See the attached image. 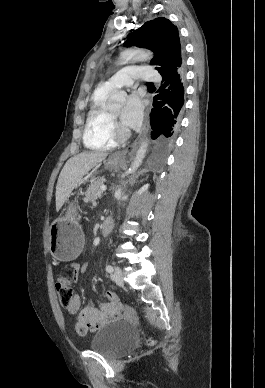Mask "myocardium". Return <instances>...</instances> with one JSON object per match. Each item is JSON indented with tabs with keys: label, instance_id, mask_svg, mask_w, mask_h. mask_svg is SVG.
<instances>
[{
	"label": "myocardium",
	"instance_id": "obj_1",
	"mask_svg": "<svg viewBox=\"0 0 265 388\" xmlns=\"http://www.w3.org/2000/svg\"><path fill=\"white\" fill-rule=\"evenodd\" d=\"M113 85L115 88L116 84H113ZM113 89L109 90L106 86L105 88L98 89V91H109V94H110V91H113ZM109 121H110L111 130L115 136H117L118 138H124L127 136L128 131L119 123L116 116L109 114Z\"/></svg>",
	"mask_w": 265,
	"mask_h": 388
}]
</instances>
